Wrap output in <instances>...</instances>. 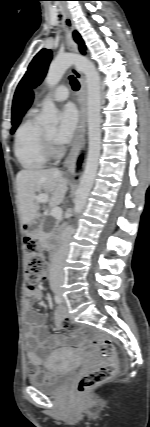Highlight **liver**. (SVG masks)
Wrapping results in <instances>:
<instances>
[{
    "label": "liver",
    "instance_id": "1",
    "mask_svg": "<svg viewBox=\"0 0 150 427\" xmlns=\"http://www.w3.org/2000/svg\"><path fill=\"white\" fill-rule=\"evenodd\" d=\"M17 198L23 224H30L40 216L39 202L36 192L44 190L48 195L51 207H57L64 200L68 181L61 171L48 170H21L16 177Z\"/></svg>",
    "mask_w": 150,
    "mask_h": 427
}]
</instances>
